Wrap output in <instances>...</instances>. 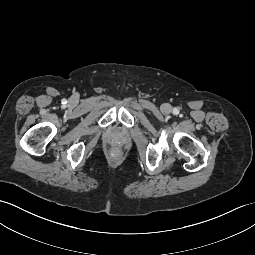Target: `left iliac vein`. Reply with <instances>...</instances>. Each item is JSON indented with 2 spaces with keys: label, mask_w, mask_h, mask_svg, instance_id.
<instances>
[{
  "label": "left iliac vein",
  "mask_w": 255,
  "mask_h": 255,
  "mask_svg": "<svg viewBox=\"0 0 255 255\" xmlns=\"http://www.w3.org/2000/svg\"><path fill=\"white\" fill-rule=\"evenodd\" d=\"M161 109H162V111H163L164 113H170L171 110H172V107H171L170 104L165 103V104L162 105Z\"/></svg>",
  "instance_id": "obj_1"
}]
</instances>
